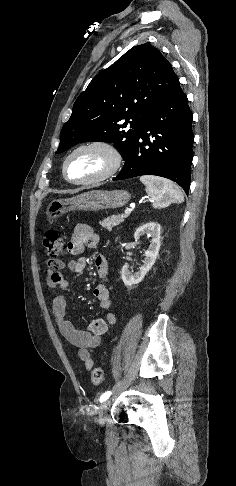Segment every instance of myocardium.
Here are the masks:
<instances>
[{"instance_id": "obj_1", "label": "myocardium", "mask_w": 236, "mask_h": 486, "mask_svg": "<svg viewBox=\"0 0 236 486\" xmlns=\"http://www.w3.org/2000/svg\"><path fill=\"white\" fill-rule=\"evenodd\" d=\"M92 148L101 149L104 152H106V154L109 157L108 168L104 172H102L101 174H99V175H97V176H95L91 179L80 180V181L71 179L68 176V172H67V167H68V163H69L70 159L76 153H78L82 150H85V149H92ZM122 162H123L122 153L114 144L107 142V141H103V140L90 141V142H86V143H83V144L77 146L67 155V157L65 158V160L63 162L62 173H63V176L66 179V181H68L69 183H71L73 185H82V186L92 185V184L100 183L102 181H105V180L113 177L119 171V169L122 165Z\"/></svg>"}]
</instances>
